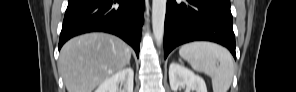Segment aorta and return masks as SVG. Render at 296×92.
Listing matches in <instances>:
<instances>
[{"label": "aorta", "mask_w": 296, "mask_h": 92, "mask_svg": "<svg viewBox=\"0 0 296 92\" xmlns=\"http://www.w3.org/2000/svg\"><path fill=\"white\" fill-rule=\"evenodd\" d=\"M166 0L152 1V29L157 46H161L164 35Z\"/></svg>", "instance_id": "762f6f07"}]
</instances>
